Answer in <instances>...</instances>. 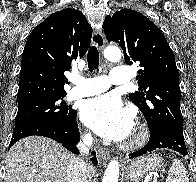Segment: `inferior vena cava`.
Segmentation results:
<instances>
[{
	"label": "inferior vena cava",
	"instance_id": "602c4592",
	"mask_svg": "<svg viewBox=\"0 0 196 182\" xmlns=\"http://www.w3.org/2000/svg\"><path fill=\"white\" fill-rule=\"evenodd\" d=\"M93 144L91 134L83 136L82 141L77 145L81 155L75 157L68 170V182H88L87 181V163L84 161L83 155L89 153V149Z\"/></svg>",
	"mask_w": 196,
	"mask_h": 182
}]
</instances>
